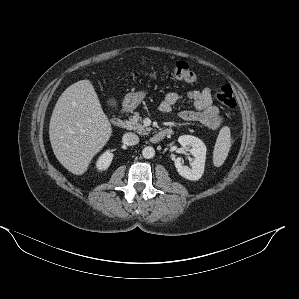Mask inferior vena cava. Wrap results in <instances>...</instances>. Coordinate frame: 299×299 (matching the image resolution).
<instances>
[{"mask_svg":"<svg viewBox=\"0 0 299 299\" xmlns=\"http://www.w3.org/2000/svg\"><path fill=\"white\" fill-rule=\"evenodd\" d=\"M122 139L123 143L129 146L136 145L139 143V137L131 132L125 133Z\"/></svg>","mask_w":299,"mask_h":299,"instance_id":"inferior-vena-cava-1","label":"inferior vena cava"}]
</instances>
